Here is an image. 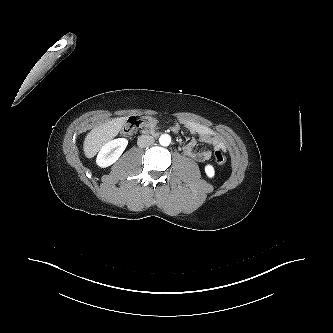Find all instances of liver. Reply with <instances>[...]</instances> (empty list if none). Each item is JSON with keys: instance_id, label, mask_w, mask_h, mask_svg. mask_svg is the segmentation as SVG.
<instances>
[{"instance_id": "6515ba94", "label": "liver", "mask_w": 333, "mask_h": 333, "mask_svg": "<svg viewBox=\"0 0 333 333\" xmlns=\"http://www.w3.org/2000/svg\"><path fill=\"white\" fill-rule=\"evenodd\" d=\"M127 117L115 118L96 126L84 140V153L87 158L94 157L99 149L113 139L126 123Z\"/></svg>"}]
</instances>
